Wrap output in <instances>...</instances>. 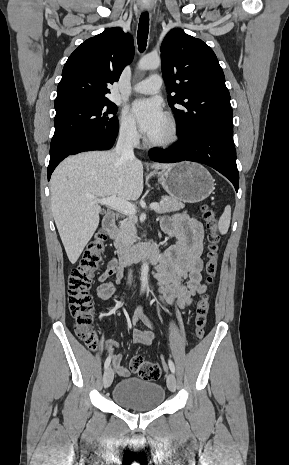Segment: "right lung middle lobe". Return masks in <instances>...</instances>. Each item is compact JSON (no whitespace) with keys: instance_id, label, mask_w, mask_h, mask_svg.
<instances>
[{"instance_id":"1","label":"right lung middle lobe","mask_w":289,"mask_h":465,"mask_svg":"<svg viewBox=\"0 0 289 465\" xmlns=\"http://www.w3.org/2000/svg\"><path fill=\"white\" fill-rule=\"evenodd\" d=\"M55 132L50 156L87 136H107L118 130L117 106L109 99L55 105Z\"/></svg>"}]
</instances>
